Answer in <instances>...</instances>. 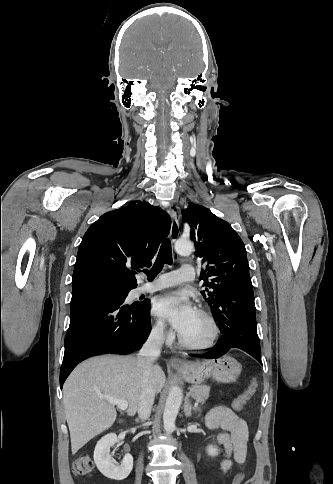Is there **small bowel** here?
<instances>
[{"label":"small bowel","mask_w":333,"mask_h":484,"mask_svg":"<svg viewBox=\"0 0 333 484\" xmlns=\"http://www.w3.org/2000/svg\"><path fill=\"white\" fill-rule=\"evenodd\" d=\"M206 425L209 429L221 430L213 439L225 451V458L221 463L222 471H229L232 459L239 465L244 464L249 437L247 422L229 407L217 406L208 412Z\"/></svg>","instance_id":"c3829d8e"}]
</instances>
